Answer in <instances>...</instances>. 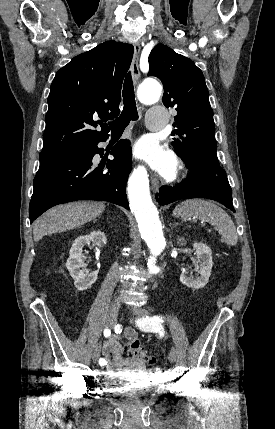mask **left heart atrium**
Returning a JSON list of instances; mask_svg holds the SVG:
<instances>
[{
  "instance_id": "39dd6f15",
  "label": "left heart atrium",
  "mask_w": 275,
  "mask_h": 429,
  "mask_svg": "<svg viewBox=\"0 0 275 429\" xmlns=\"http://www.w3.org/2000/svg\"><path fill=\"white\" fill-rule=\"evenodd\" d=\"M134 154L146 160L165 176L172 175L175 170L176 163L173 154L155 142H139L135 147Z\"/></svg>"
}]
</instances>
